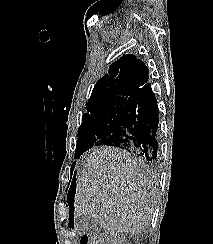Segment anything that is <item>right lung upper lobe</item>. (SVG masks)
<instances>
[{"label":"right lung upper lobe","instance_id":"cb5924a9","mask_svg":"<svg viewBox=\"0 0 213 244\" xmlns=\"http://www.w3.org/2000/svg\"><path fill=\"white\" fill-rule=\"evenodd\" d=\"M148 68L135 55L127 54L109 67V73L95 84L88 101L113 95H134L148 84Z\"/></svg>","mask_w":213,"mask_h":244}]
</instances>
